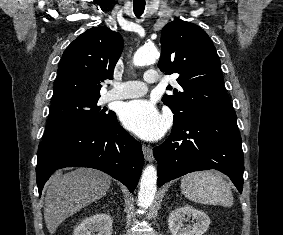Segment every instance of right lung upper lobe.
Masks as SVG:
<instances>
[{
	"label": "right lung upper lobe",
	"mask_w": 283,
	"mask_h": 235,
	"mask_svg": "<svg viewBox=\"0 0 283 235\" xmlns=\"http://www.w3.org/2000/svg\"><path fill=\"white\" fill-rule=\"evenodd\" d=\"M122 49L121 35L105 26L78 36L60 60L52 103L72 97H100L101 83L113 78Z\"/></svg>",
	"instance_id": "1"
}]
</instances>
